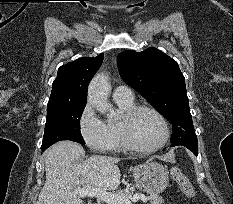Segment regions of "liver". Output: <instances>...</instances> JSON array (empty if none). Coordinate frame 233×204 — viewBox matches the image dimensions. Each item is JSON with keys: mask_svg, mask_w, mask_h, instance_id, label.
Instances as JSON below:
<instances>
[{"mask_svg": "<svg viewBox=\"0 0 233 204\" xmlns=\"http://www.w3.org/2000/svg\"><path fill=\"white\" fill-rule=\"evenodd\" d=\"M83 147L72 141H59L44 153L46 181L36 204H84L74 189L90 186L111 191L120 185L117 157L93 155L81 163Z\"/></svg>", "mask_w": 233, "mask_h": 204, "instance_id": "liver-1", "label": "liver"}]
</instances>
